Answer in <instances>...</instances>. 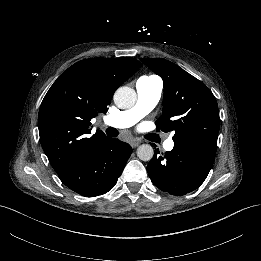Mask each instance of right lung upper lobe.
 <instances>
[{"instance_id": "obj_1", "label": "right lung upper lobe", "mask_w": 261, "mask_h": 261, "mask_svg": "<svg viewBox=\"0 0 261 261\" xmlns=\"http://www.w3.org/2000/svg\"><path fill=\"white\" fill-rule=\"evenodd\" d=\"M131 57L81 60L69 67L51 86L40 106V142L59 174L90 154L107 136L91 137L90 120L106 113L115 90L140 67Z\"/></svg>"}]
</instances>
